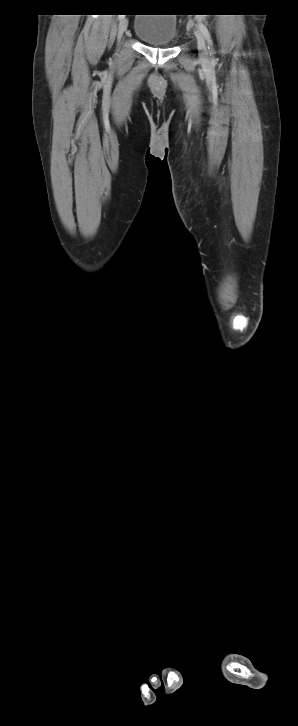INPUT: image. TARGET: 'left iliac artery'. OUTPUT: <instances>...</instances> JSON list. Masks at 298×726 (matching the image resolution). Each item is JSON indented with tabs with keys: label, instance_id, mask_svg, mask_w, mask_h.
I'll use <instances>...</instances> for the list:
<instances>
[{
	"label": "left iliac artery",
	"instance_id": "44dca946",
	"mask_svg": "<svg viewBox=\"0 0 298 726\" xmlns=\"http://www.w3.org/2000/svg\"><path fill=\"white\" fill-rule=\"evenodd\" d=\"M198 25H199L200 31L202 32V34L204 35V37H205V39H206V41L208 43V48L210 49V54L212 55V61L214 62L213 42H212V39H211L210 32H209L208 28L206 27V25L204 23L199 22Z\"/></svg>",
	"mask_w": 298,
	"mask_h": 726
}]
</instances>
